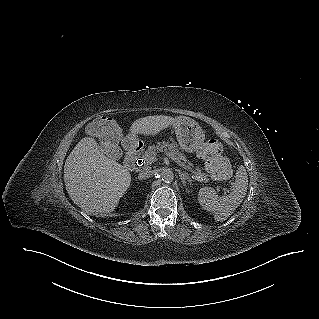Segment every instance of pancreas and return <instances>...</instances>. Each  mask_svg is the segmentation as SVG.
Here are the masks:
<instances>
[{
  "mask_svg": "<svg viewBox=\"0 0 319 319\" xmlns=\"http://www.w3.org/2000/svg\"><path fill=\"white\" fill-rule=\"evenodd\" d=\"M167 151H169L174 156H176L185 165L188 164L186 166L190 167L192 165L189 162L187 163V159H186L185 155L179 151L177 144L168 143V142L158 143L157 146H149L148 149L143 153L141 158L144 161L145 165L147 166V165H150L154 162V161L153 162L150 161L151 157H153V156L155 157L157 155V153L167 152ZM194 171L204 179V182L208 181L207 175L205 173H202L199 168H197Z\"/></svg>",
  "mask_w": 319,
  "mask_h": 319,
  "instance_id": "obj_1",
  "label": "pancreas"
}]
</instances>
